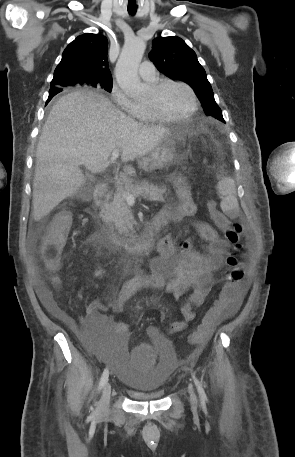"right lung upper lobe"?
<instances>
[{
  "mask_svg": "<svg viewBox=\"0 0 295 457\" xmlns=\"http://www.w3.org/2000/svg\"><path fill=\"white\" fill-rule=\"evenodd\" d=\"M107 45V38L100 34L86 33L78 36L64 50L61 62L54 71L51 88L112 81Z\"/></svg>",
  "mask_w": 295,
  "mask_h": 457,
  "instance_id": "1",
  "label": "right lung upper lobe"
}]
</instances>
